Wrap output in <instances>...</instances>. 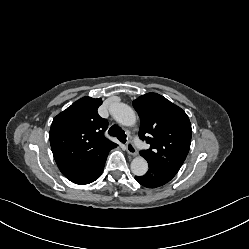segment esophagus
<instances>
[{
  "mask_svg": "<svg viewBox=\"0 0 249 249\" xmlns=\"http://www.w3.org/2000/svg\"><path fill=\"white\" fill-rule=\"evenodd\" d=\"M126 151L128 152V154H130L132 156L137 155V149L131 141H128V143L126 145Z\"/></svg>",
  "mask_w": 249,
  "mask_h": 249,
  "instance_id": "obj_1",
  "label": "esophagus"
}]
</instances>
